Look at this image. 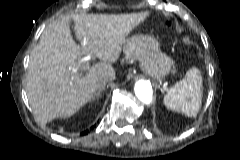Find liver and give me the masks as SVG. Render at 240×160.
<instances>
[{
    "label": "liver",
    "instance_id": "6515ba94",
    "mask_svg": "<svg viewBox=\"0 0 240 160\" xmlns=\"http://www.w3.org/2000/svg\"><path fill=\"white\" fill-rule=\"evenodd\" d=\"M148 15L75 14L49 24L31 53L26 76V92L36 119L47 123L70 117L94 97L98 82L104 78L113 80L112 63L125 49L126 37ZM70 20L80 44L73 39ZM93 57L101 62L83 74Z\"/></svg>",
    "mask_w": 240,
    "mask_h": 160
}]
</instances>
